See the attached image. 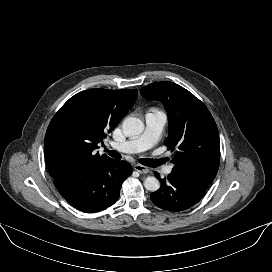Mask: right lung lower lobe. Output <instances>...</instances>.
<instances>
[{"label": "right lung lower lobe", "mask_w": 272, "mask_h": 272, "mask_svg": "<svg viewBox=\"0 0 272 272\" xmlns=\"http://www.w3.org/2000/svg\"><path fill=\"white\" fill-rule=\"evenodd\" d=\"M132 174L126 161L108 158L85 171L54 179L59 193L83 212H98L113 205L124 180Z\"/></svg>", "instance_id": "1"}]
</instances>
